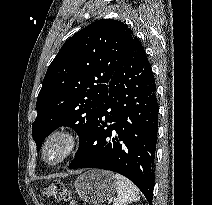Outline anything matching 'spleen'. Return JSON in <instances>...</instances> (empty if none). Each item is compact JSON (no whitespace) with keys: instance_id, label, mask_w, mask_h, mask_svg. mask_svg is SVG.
I'll use <instances>...</instances> for the list:
<instances>
[{"instance_id":"3e777b00","label":"spleen","mask_w":212,"mask_h":205,"mask_svg":"<svg viewBox=\"0 0 212 205\" xmlns=\"http://www.w3.org/2000/svg\"><path fill=\"white\" fill-rule=\"evenodd\" d=\"M114 178L117 184V198L113 200L114 205H128L139 200V190L129 179L120 174H115Z\"/></svg>"}]
</instances>
